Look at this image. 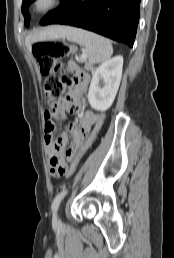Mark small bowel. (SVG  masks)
Segmentation results:
<instances>
[{"label": "small bowel", "instance_id": "c3829d8e", "mask_svg": "<svg viewBox=\"0 0 174 258\" xmlns=\"http://www.w3.org/2000/svg\"><path fill=\"white\" fill-rule=\"evenodd\" d=\"M66 69L73 74L76 79L75 93L72 97L59 100L54 108H50L45 112V143L47 147V159L52 169L51 178L54 183H59V178H64L68 175V161H72L71 157L80 148L85 134H90L95 118H80V128L75 123L69 125L70 131L73 133V140L69 147H66L68 138L65 134L58 138L54 137L55 124L52 120L54 111L62 113L68 111L70 113L79 112L82 104V94L90 81V75L82 70L75 62L67 63ZM93 107V106H92ZM96 108H89L88 112H83V117H95L97 114ZM99 116V115H98ZM57 147H63L62 150ZM53 161V162H52Z\"/></svg>", "mask_w": 174, "mask_h": 258}]
</instances>
